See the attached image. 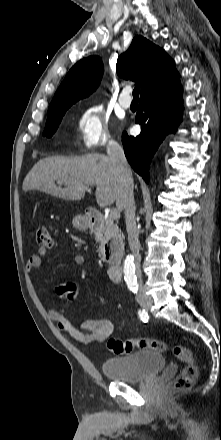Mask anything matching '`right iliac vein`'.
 Masks as SVG:
<instances>
[{"instance_id": "right-iliac-vein-1", "label": "right iliac vein", "mask_w": 221, "mask_h": 440, "mask_svg": "<svg viewBox=\"0 0 221 440\" xmlns=\"http://www.w3.org/2000/svg\"><path fill=\"white\" fill-rule=\"evenodd\" d=\"M151 300H146V301H141L140 302V305L144 308V309H146V310H148L149 308H150V306H151Z\"/></svg>"}]
</instances>
